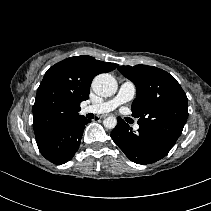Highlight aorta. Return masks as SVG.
<instances>
[{"label":"aorta","instance_id":"aorta-1","mask_svg":"<svg viewBox=\"0 0 211 211\" xmlns=\"http://www.w3.org/2000/svg\"><path fill=\"white\" fill-rule=\"evenodd\" d=\"M92 89L99 96L109 97L116 93L117 82L108 73L99 74L93 79ZM103 125L108 129H113L117 125V119L113 116L107 117L104 119Z\"/></svg>","mask_w":211,"mask_h":211}]
</instances>
